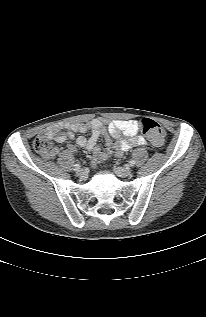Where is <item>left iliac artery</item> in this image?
<instances>
[{
	"instance_id": "obj_1",
	"label": "left iliac artery",
	"mask_w": 206,
	"mask_h": 317,
	"mask_svg": "<svg viewBox=\"0 0 206 317\" xmlns=\"http://www.w3.org/2000/svg\"><path fill=\"white\" fill-rule=\"evenodd\" d=\"M129 165H130L131 167L134 166V165H135V160L131 159V160L129 161Z\"/></svg>"
}]
</instances>
